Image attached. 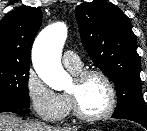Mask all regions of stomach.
I'll list each match as a JSON object with an SVG mask.
<instances>
[{"label": "stomach", "instance_id": "0dacf381", "mask_svg": "<svg viewBox=\"0 0 147 131\" xmlns=\"http://www.w3.org/2000/svg\"><path fill=\"white\" fill-rule=\"evenodd\" d=\"M88 131H99V130H97V129H90V130H88Z\"/></svg>", "mask_w": 147, "mask_h": 131}]
</instances>
